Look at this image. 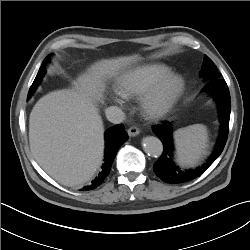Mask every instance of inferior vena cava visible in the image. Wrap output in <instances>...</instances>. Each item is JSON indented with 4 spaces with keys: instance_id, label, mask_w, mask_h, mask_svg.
I'll use <instances>...</instances> for the list:
<instances>
[{
    "instance_id": "1",
    "label": "inferior vena cava",
    "mask_w": 250,
    "mask_h": 250,
    "mask_svg": "<svg viewBox=\"0 0 250 250\" xmlns=\"http://www.w3.org/2000/svg\"><path fill=\"white\" fill-rule=\"evenodd\" d=\"M105 114L107 119L114 124H120L125 120L124 112L117 106L108 107Z\"/></svg>"
}]
</instances>
